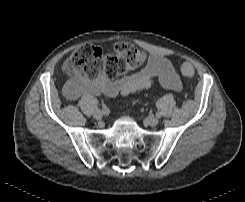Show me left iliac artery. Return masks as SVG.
Masks as SVG:
<instances>
[{
    "label": "left iliac artery",
    "instance_id": "44dca946",
    "mask_svg": "<svg viewBox=\"0 0 245 202\" xmlns=\"http://www.w3.org/2000/svg\"><path fill=\"white\" fill-rule=\"evenodd\" d=\"M156 116H157L158 118H160V117H161V112H157V113H156Z\"/></svg>",
    "mask_w": 245,
    "mask_h": 202
}]
</instances>
